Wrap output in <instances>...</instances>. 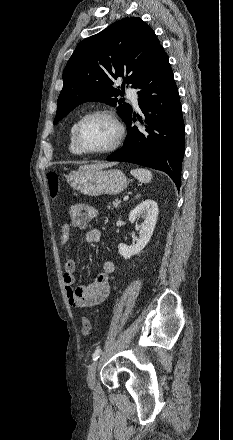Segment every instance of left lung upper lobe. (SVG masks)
Segmentation results:
<instances>
[{
    "label": "left lung upper lobe",
    "mask_w": 233,
    "mask_h": 440,
    "mask_svg": "<svg viewBox=\"0 0 233 440\" xmlns=\"http://www.w3.org/2000/svg\"><path fill=\"white\" fill-rule=\"evenodd\" d=\"M163 50L151 27L136 17L117 21L81 41L63 71L54 124L87 101L119 103L117 111L126 122L132 107L117 99L123 93L113 87L114 81L123 77V91L125 82L137 88Z\"/></svg>",
    "instance_id": "left-lung-upper-lobe-1"
}]
</instances>
